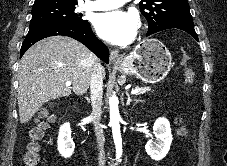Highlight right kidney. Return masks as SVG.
<instances>
[{
	"label": "right kidney",
	"instance_id": "ca27d5eb",
	"mask_svg": "<svg viewBox=\"0 0 227 166\" xmlns=\"http://www.w3.org/2000/svg\"><path fill=\"white\" fill-rule=\"evenodd\" d=\"M57 144L61 156L64 158L72 156L75 149V143L71 138V128L69 123H65L60 127Z\"/></svg>",
	"mask_w": 227,
	"mask_h": 166
}]
</instances>
